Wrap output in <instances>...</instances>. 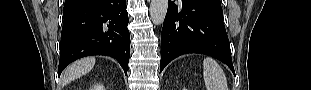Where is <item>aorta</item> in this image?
I'll list each match as a JSON object with an SVG mask.
<instances>
[{
  "label": "aorta",
  "mask_w": 311,
  "mask_h": 90,
  "mask_svg": "<svg viewBox=\"0 0 311 90\" xmlns=\"http://www.w3.org/2000/svg\"><path fill=\"white\" fill-rule=\"evenodd\" d=\"M168 9V0H151L150 17L155 25H160L164 22Z\"/></svg>",
  "instance_id": "aorta-1"
}]
</instances>
